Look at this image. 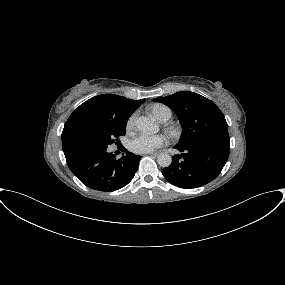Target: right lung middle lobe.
Returning <instances> with one entry per match:
<instances>
[{"label":"right lung middle lobe","instance_id":"1","mask_svg":"<svg viewBox=\"0 0 285 285\" xmlns=\"http://www.w3.org/2000/svg\"><path fill=\"white\" fill-rule=\"evenodd\" d=\"M127 122H112L103 126L96 133L88 137L81 146H95L107 148L112 144L115 138L125 135V128ZM118 141V140H116Z\"/></svg>","mask_w":285,"mask_h":285}]
</instances>
